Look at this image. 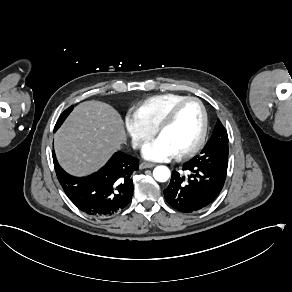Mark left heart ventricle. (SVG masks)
<instances>
[{"label":"left heart ventricle","mask_w":292,"mask_h":292,"mask_svg":"<svg viewBox=\"0 0 292 292\" xmlns=\"http://www.w3.org/2000/svg\"><path fill=\"white\" fill-rule=\"evenodd\" d=\"M201 123L200 108L195 102L183 104L174 119L162 130L164 137L180 152L190 147L199 134Z\"/></svg>","instance_id":"1"}]
</instances>
